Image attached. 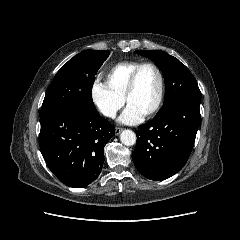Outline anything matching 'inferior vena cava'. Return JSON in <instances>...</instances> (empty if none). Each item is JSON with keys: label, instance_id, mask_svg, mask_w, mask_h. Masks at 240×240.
I'll return each instance as SVG.
<instances>
[{"label": "inferior vena cava", "instance_id": "inferior-vena-cava-1", "mask_svg": "<svg viewBox=\"0 0 240 240\" xmlns=\"http://www.w3.org/2000/svg\"><path fill=\"white\" fill-rule=\"evenodd\" d=\"M106 116L114 118L116 116V110L108 109L104 112Z\"/></svg>", "mask_w": 240, "mask_h": 240}]
</instances>
